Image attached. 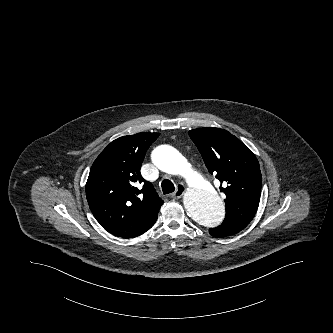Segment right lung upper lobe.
Segmentation results:
<instances>
[{"mask_svg":"<svg viewBox=\"0 0 333 333\" xmlns=\"http://www.w3.org/2000/svg\"><path fill=\"white\" fill-rule=\"evenodd\" d=\"M160 133H138L111 142L93 163L86 197L96 220L115 236L133 238L155 223L163 204L140 174L149 146Z\"/></svg>","mask_w":333,"mask_h":333,"instance_id":"right-lung-upper-lobe-1","label":"right lung upper lobe"}]
</instances>
